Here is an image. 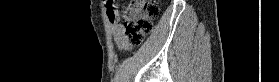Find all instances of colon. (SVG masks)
Segmentation results:
<instances>
[{
	"label": "colon",
	"mask_w": 279,
	"mask_h": 82,
	"mask_svg": "<svg viewBox=\"0 0 279 82\" xmlns=\"http://www.w3.org/2000/svg\"><path fill=\"white\" fill-rule=\"evenodd\" d=\"M118 11L120 25L128 46L140 45L152 31L153 21L159 16L155 0H124Z\"/></svg>",
	"instance_id": "obj_1"
}]
</instances>
